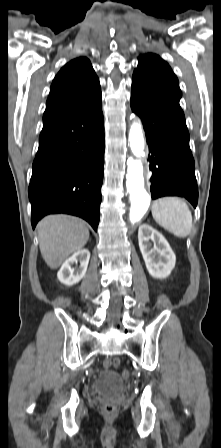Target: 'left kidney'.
Listing matches in <instances>:
<instances>
[{
  "label": "left kidney",
  "instance_id": "obj_1",
  "mask_svg": "<svg viewBox=\"0 0 221 448\" xmlns=\"http://www.w3.org/2000/svg\"><path fill=\"white\" fill-rule=\"evenodd\" d=\"M149 240L154 243L153 247ZM138 241L149 274L157 279L168 277L175 267L176 256L163 235L144 224L139 228Z\"/></svg>",
  "mask_w": 221,
  "mask_h": 448
}]
</instances>
